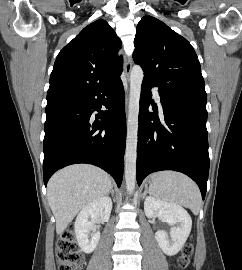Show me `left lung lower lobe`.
I'll list each match as a JSON object with an SVG mask.
<instances>
[{
	"label": "left lung lower lobe",
	"mask_w": 242,
	"mask_h": 270,
	"mask_svg": "<svg viewBox=\"0 0 242 270\" xmlns=\"http://www.w3.org/2000/svg\"><path fill=\"white\" fill-rule=\"evenodd\" d=\"M152 82L143 79L137 144V183L150 173L175 170L192 178L205 198L209 173L206 100L173 99L159 89L164 122L151 100ZM149 104L154 113L148 112Z\"/></svg>",
	"instance_id": "1"
}]
</instances>
